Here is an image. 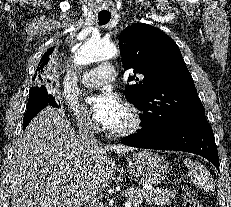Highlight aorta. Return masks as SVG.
Returning <instances> with one entry per match:
<instances>
[{"label":"aorta","mask_w":231,"mask_h":207,"mask_svg":"<svg viewBox=\"0 0 231 207\" xmlns=\"http://www.w3.org/2000/svg\"><path fill=\"white\" fill-rule=\"evenodd\" d=\"M117 47L103 39L91 38L83 43L75 54L74 63L78 66L104 61L115 57Z\"/></svg>","instance_id":"aorta-1"}]
</instances>
